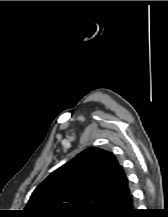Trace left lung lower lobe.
Instances as JSON below:
<instances>
[{
  "mask_svg": "<svg viewBox=\"0 0 168 217\" xmlns=\"http://www.w3.org/2000/svg\"><path fill=\"white\" fill-rule=\"evenodd\" d=\"M137 214L130 187L127 185L108 200L103 211L97 217H136Z\"/></svg>",
  "mask_w": 168,
  "mask_h": 217,
  "instance_id": "left-lung-lower-lobe-1",
  "label": "left lung lower lobe"
}]
</instances>
